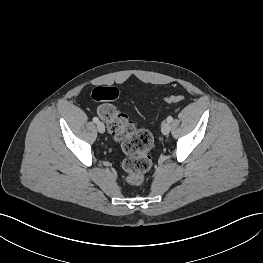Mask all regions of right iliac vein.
<instances>
[{
  "label": "right iliac vein",
  "instance_id": "1",
  "mask_svg": "<svg viewBox=\"0 0 263 263\" xmlns=\"http://www.w3.org/2000/svg\"><path fill=\"white\" fill-rule=\"evenodd\" d=\"M97 130L99 133H104L105 132V126L102 122L97 123Z\"/></svg>",
  "mask_w": 263,
  "mask_h": 263
}]
</instances>
